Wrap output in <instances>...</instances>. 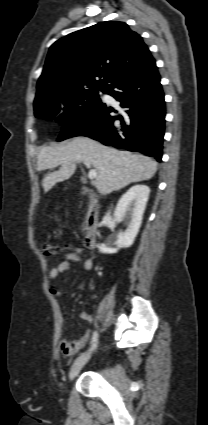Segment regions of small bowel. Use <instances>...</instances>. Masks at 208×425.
I'll use <instances>...</instances> for the list:
<instances>
[{"label":"small bowel","instance_id":"obj_1","mask_svg":"<svg viewBox=\"0 0 208 425\" xmlns=\"http://www.w3.org/2000/svg\"><path fill=\"white\" fill-rule=\"evenodd\" d=\"M72 263L82 264L83 269L87 271L93 268V260L90 257H83L79 250L73 249L64 256V260L62 262H60L58 265L54 266L50 270V277L53 279L58 278L63 272L69 269ZM50 293L54 297H62L64 294L63 291L57 288H51ZM79 317L81 320L86 322L93 321L92 316L85 311H80ZM89 337H90V332L87 331L83 335H81L78 339L73 341L61 339L59 342L60 350L65 355L74 354L86 345V343L89 340Z\"/></svg>","mask_w":208,"mask_h":425}]
</instances>
